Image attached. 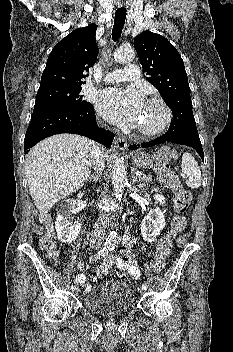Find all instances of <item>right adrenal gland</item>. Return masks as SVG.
<instances>
[{
    "label": "right adrenal gland",
    "mask_w": 233,
    "mask_h": 352,
    "mask_svg": "<svg viewBox=\"0 0 233 352\" xmlns=\"http://www.w3.org/2000/svg\"><path fill=\"white\" fill-rule=\"evenodd\" d=\"M94 181L95 183L98 181V176L96 174L90 175L86 181Z\"/></svg>",
    "instance_id": "1"
}]
</instances>
